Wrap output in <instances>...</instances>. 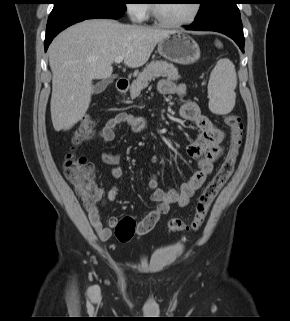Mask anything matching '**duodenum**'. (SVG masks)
<instances>
[{"instance_id": "obj_1", "label": "duodenum", "mask_w": 290, "mask_h": 321, "mask_svg": "<svg viewBox=\"0 0 290 321\" xmlns=\"http://www.w3.org/2000/svg\"><path fill=\"white\" fill-rule=\"evenodd\" d=\"M116 88L119 92H126L129 88V80L126 78H120L117 82H116Z\"/></svg>"}]
</instances>
